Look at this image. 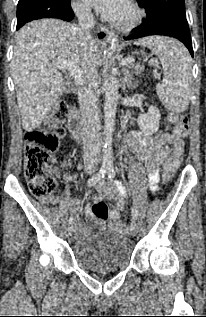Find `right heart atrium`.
I'll return each mask as SVG.
<instances>
[{"instance_id":"right-heart-atrium-1","label":"right heart atrium","mask_w":206,"mask_h":317,"mask_svg":"<svg viewBox=\"0 0 206 317\" xmlns=\"http://www.w3.org/2000/svg\"><path fill=\"white\" fill-rule=\"evenodd\" d=\"M73 8L75 10V12L79 15V16H88L90 14V8L87 4L83 3V2H74L73 3Z\"/></svg>"}]
</instances>
